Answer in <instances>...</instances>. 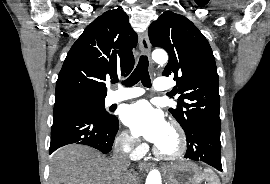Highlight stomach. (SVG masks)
I'll use <instances>...</instances> for the list:
<instances>
[{
	"mask_svg": "<svg viewBox=\"0 0 270 184\" xmlns=\"http://www.w3.org/2000/svg\"><path fill=\"white\" fill-rule=\"evenodd\" d=\"M166 179L169 184H201L203 174L196 164L183 161L167 167Z\"/></svg>",
	"mask_w": 270,
	"mask_h": 184,
	"instance_id": "obj_1",
	"label": "stomach"
}]
</instances>
